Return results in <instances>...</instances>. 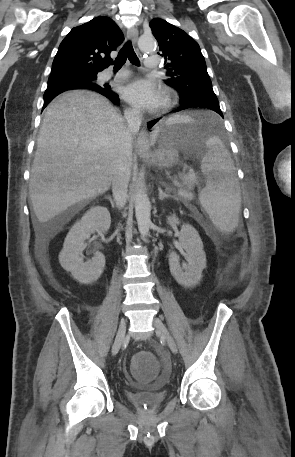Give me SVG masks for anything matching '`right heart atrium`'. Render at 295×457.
<instances>
[{
  "mask_svg": "<svg viewBox=\"0 0 295 457\" xmlns=\"http://www.w3.org/2000/svg\"><path fill=\"white\" fill-rule=\"evenodd\" d=\"M130 114H132V115H136V114H137V111H136V110H134V109H131V110H130Z\"/></svg>",
  "mask_w": 295,
  "mask_h": 457,
  "instance_id": "obj_1",
  "label": "right heart atrium"
}]
</instances>
